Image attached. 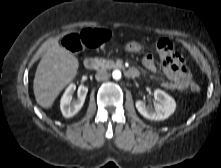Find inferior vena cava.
<instances>
[{
  "mask_svg": "<svg viewBox=\"0 0 221 168\" xmlns=\"http://www.w3.org/2000/svg\"><path fill=\"white\" fill-rule=\"evenodd\" d=\"M95 78L97 81H104L109 78V74L107 71L100 70L95 74Z\"/></svg>",
  "mask_w": 221,
  "mask_h": 168,
  "instance_id": "602c4592",
  "label": "inferior vena cava"
}]
</instances>
